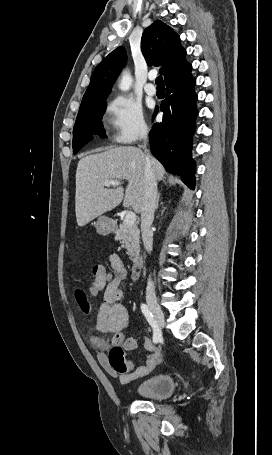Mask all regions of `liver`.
Returning <instances> with one entry per match:
<instances>
[{
	"label": "liver",
	"instance_id": "1",
	"mask_svg": "<svg viewBox=\"0 0 272 455\" xmlns=\"http://www.w3.org/2000/svg\"><path fill=\"white\" fill-rule=\"evenodd\" d=\"M156 179L164 177V168L154 157L150 158ZM145 154L138 148L120 146L104 152L90 154L80 159L76 170L75 211L79 226H85L96 217L111 211L123 201L141 212L144 196ZM127 180L124 194L122 187L105 189L108 180Z\"/></svg>",
	"mask_w": 272,
	"mask_h": 455
}]
</instances>
